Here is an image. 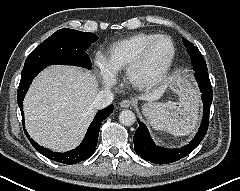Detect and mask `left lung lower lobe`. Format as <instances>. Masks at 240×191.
Wrapping results in <instances>:
<instances>
[{
  "label": "left lung lower lobe",
  "instance_id": "0a47b994",
  "mask_svg": "<svg viewBox=\"0 0 240 191\" xmlns=\"http://www.w3.org/2000/svg\"><path fill=\"white\" fill-rule=\"evenodd\" d=\"M195 77L202 93L203 119L198 133L192 141L179 149H167L156 146L151 139L144 123L139 122V127L133 137L135 152L143 159L155 164H168L180 160L193 151L206 135L209 126L210 106L213 99L212 87L207 71H195Z\"/></svg>",
  "mask_w": 240,
  "mask_h": 191
}]
</instances>
